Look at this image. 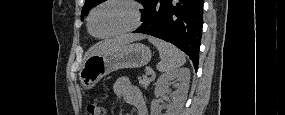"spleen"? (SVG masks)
<instances>
[{
	"mask_svg": "<svg viewBox=\"0 0 285 115\" xmlns=\"http://www.w3.org/2000/svg\"><path fill=\"white\" fill-rule=\"evenodd\" d=\"M148 40L157 47L161 57V61L157 64L158 71L171 72L185 64L184 53L171 43L154 37H149Z\"/></svg>",
	"mask_w": 285,
	"mask_h": 115,
	"instance_id": "spleen-1",
	"label": "spleen"
}]
</instances>
